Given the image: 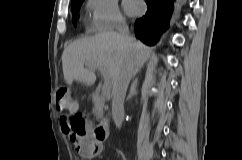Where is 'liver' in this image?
I'll list each match as a JSON object with an SVG mask.
<instances>
[{"mask_svg": "<svg viewBox=\"0 0 242 160\" xmlns=\"http://www.w3.org/2000/svg\"><path fill=\"white\" fill-rule=\"evenodd\" d=\"M154 55L150 47L133 38L126 40L120 34L109 32L78 39L69 44L62 54L64 80L71 85L74 80L93 85L96 75L84 65L92 64L107 70L112 86L128 64L142 67Z\"/></svg>", "mask_w": 242, "mask_h": 160, "instance_id": "6515ba94", "label": "liver"}]
</instances>
